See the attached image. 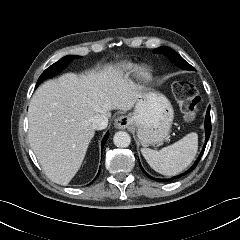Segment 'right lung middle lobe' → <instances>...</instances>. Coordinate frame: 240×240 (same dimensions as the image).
<instances>
[{
    "mask_svg": "<svg viewBox=\"0 0 240 240\" xmlns=\"http://www.w3.org/2000/svg\"><path fill=\"white\" fill-rule=\"evenodd\" d=\"M79 56H65L59 61L48 67L39 77L36 87L45 79L56 75L61 72L73 59L78 58Z\"/></svg>",
    "mask_w": 240,
    "mask_h": 240,
    "instance_id": "obj_1",
    "label": "right lung middle lobe"
}]
</instances>
